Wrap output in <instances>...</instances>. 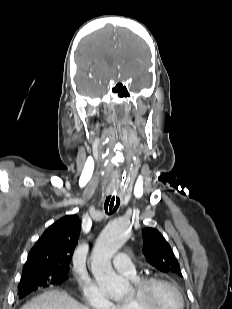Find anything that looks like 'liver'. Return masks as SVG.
I'll return each mask as SVG.
<instances>
[{
  "mask_svg": "<svg viewBox=\"0 0 232 309\" xmlns=\"http://www.w3.org/2000/svg\"><path fill=\"white\" fill-rule=\"evenodd\" d=\"M20 309H89L80 304L64 291H46L31 301L27 302Z\"/></svg>",
  "mask_w": 232,
  "mask_h": 309,
  "instance_id": "obj_1",
  "label": "liver"
}]
</instances>
